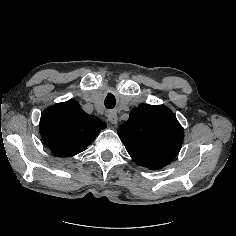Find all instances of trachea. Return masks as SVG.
Listing matches in <instances>:
<instances>
[{
  "mask_svg": "<svg viewBox=\"0 0 236 236\" xmlns=\"http://www.w3.org/2000/svg\"><path fill=\"white\" fill-rule=\"evenodd\" d=\"M106 108L112 109L115 106V97L112 94H108L104 100Z\"/></svg>",
  "mask_w": 236,
  "mask_h": 236,
  "instance_id": "1",
  "label": "trachea"
}]
</instances>
